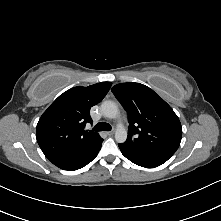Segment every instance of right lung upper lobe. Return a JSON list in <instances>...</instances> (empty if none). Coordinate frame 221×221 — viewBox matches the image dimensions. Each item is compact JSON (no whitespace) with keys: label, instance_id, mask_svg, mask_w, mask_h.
I'll return each instance as SVG.
<instances>
[{"label":"right lung upper lobe","instance_id":"1","mask_svg":"<svg viewBox=\"0 0 221 221\" xmlns=\"http://www.w3.org/2000/svg\"><path fill=\"white\" fill-rule=\"evenodd\" d=\"M111 82L74 87L61 94L43 113L37 124L36 138L44 155L57 167L76 164L102 138L84 130L92 123L90 108L108 93Z\"/></svg>","mask_w":221,"mask_h":221}]
</instances>
